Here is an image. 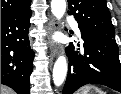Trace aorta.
I'll return each instance as SVG.
<instances>
[{"label":"aorta","instance_id":"obj_1","mask_svg":"<svg viewBox=\"0 0 121 94\" xmlns=\"http://www.w3.org/2000/svg\"><path fill=\"white\" fill-rule=\"evenodd\" d=\"M51 11L59 20L66 11V0H51ZM67 74V61L65 56H59L53 68V81L56 86L62 85Z\"/></svg>","mask_w":121,"mask_h":94}]
</instances>
